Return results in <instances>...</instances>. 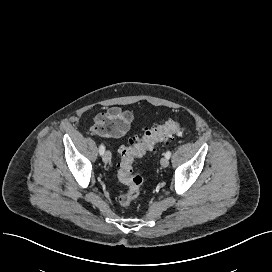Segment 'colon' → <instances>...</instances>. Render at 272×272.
<instances>
[{"label": "colon", "mask_w": 272, "mask_h": 272, "mask_svg": "<svg viewBox=\"0 0 272 272\" xmlns=\"http://www.w3.org/2000/svg\"><path fill=\"white\" fill-rule=\"evenodd\" d=\"M128 125L129 113L111 108L95 118L93 129L101 136L118 137L126 132ZM183 130L184 126L178 118L170 119L164 124L146 129L140 137L131 139L122 148L118 178L127 186V191L118 197V203L122 207H129L141 191L143 179L133 173L136 160L147 152L154 151L157 144L169 142L173 135Z\"/></svg>", "instance_id": "5ec220e1"}]
</instances>
